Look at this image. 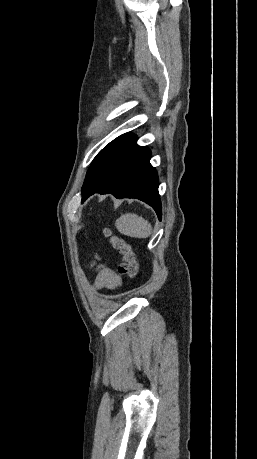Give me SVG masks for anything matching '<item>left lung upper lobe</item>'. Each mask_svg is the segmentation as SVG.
<instances>
[{"instance_id":"obj_1","label":"left lung upper lobe","mask_w":257,"mask_h":459,"mask_svg":"<svg viewBox=\"0 0 257 459\" xmlns=\"http://www.w3.org/2000/svg\"><path fill=\"white\" fill-rule=\"evenodd\" d=\"M99 168H100V155L98 154L94 158L93 162L91 163L90 168L87 171L86 178H85V181H84V185H83V188H82L83 197H84L85 193L87 192V190L92 185V183L94 182V180H95V178H96V176L98 174Z\"/></svg>"}]
</instances>
